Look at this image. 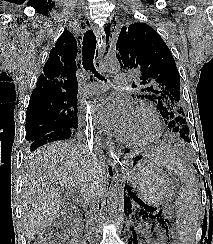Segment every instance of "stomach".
<instances>
[{
	"mask_svg": "<svg viewBox=\"0 0 213 244\" xmlns=\"http://www.w3.org/2000/svg\"><path fill=\"white\" fill-rule=\"evenodd\" d=\"M156 149H137L129 156L128 180L138 196L149 206L170 201L179 185L165 170L164 160L158 159Z\"/></svg>",
	"mask_w": 213,
	"mask_h": 244,
	"instance_id": "stomach-1",
	"label": "stomach"
}]
</instances>
